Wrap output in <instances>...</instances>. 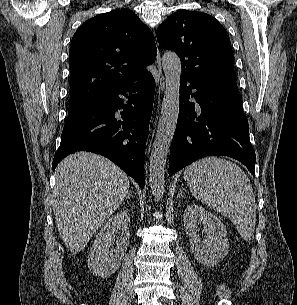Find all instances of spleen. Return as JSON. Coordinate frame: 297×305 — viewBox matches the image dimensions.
Returning <instances> with one entry per match:
<instances>
[{"label":"spleen","mask_w":297,"mask_h":305,"mask_svg":"<svg viewBox=\"0 0 297 305\" xmlns=\"http://www.w3.org/2000/svg\"><path fill=\"white\" fill-rule=\"evenodd\" d=\"M184 180L192 195L230 219L244 240L253 238L255 196L250 180L239 166L217 157L203 158L185 169Z\"/></svg>","instance_id":"1"}]
</instances>
